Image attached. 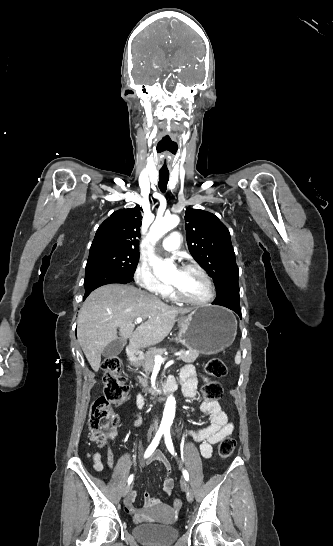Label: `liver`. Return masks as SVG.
I'll return each mask as SVG.
<instances>
[{
  "label": "liver",
  "instance_id": "1",
  "mask_svg": "<svg viewBox=\"0 0 333 546\" xmlns=\"http://www.w3.org/2000/svg\"><path fill=\"white\" fill-rule=\"evenodd\" d=\"M190 311L168 306L131 285L107 284L93 291L81 307L78 342L91 368L98 371L101 354L110 343L129 339L133 349L156 345L170 333L176 317ZM138 317L148 321L134 330Z\"/></svg>",
  "mask_w": 333,
  "mask_h": 546
}]
</instances>
